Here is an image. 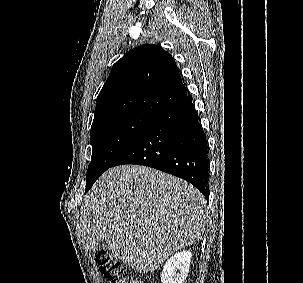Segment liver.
Segmentation results:
<instances>
[{
  "instance_id": "obj_1",
  "label": "liver",
  "mask_w": 303,
  "mask_h": 283,
  "mask_svg": "<svg viewBox=\"0 0 303 283\" xmlns=\"http://www.w3.org/2000/svg\"><path fill=\"white\" fill-rule=\"evenodd\" d=\"M206 199L191 184L153 168H110L87 194L80 212L85 248L101 240L129 267L153 272L173 253L199 241Z\"/></svg>"
}]
</instances>
